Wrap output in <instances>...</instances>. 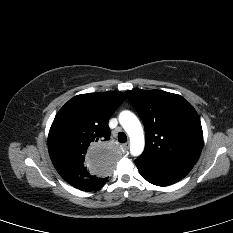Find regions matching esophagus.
<instances>
[{"mask_svg": "<svg viewBox=\"0 0 233 233\" xmlns=\"http://www.w3.org/2000/svg\"><path fill=\"white\" fill-rule=\"evenodd\" d=\"M128 149H129V143H124V144L122 145V150H123V152H127Z\"/></svg>", "mask_w": 233, "mask_h": 233, "instance_id": "34e87169", "label": "esophagus"}]
</instances>
